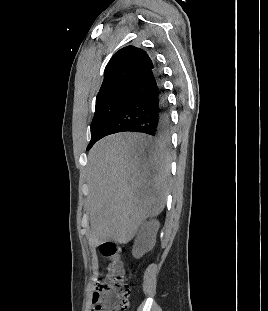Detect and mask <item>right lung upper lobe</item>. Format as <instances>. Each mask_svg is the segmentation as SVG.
<instances>
[{
	"label": "right lung upper lobe",
	"instance_id": "obj_1",
	"mask_svg": "<svg viewBox=\"0 0 268 311\" xmlns=\"http://www.w3.org/2000/svg\"><path fill=\"white\" fill-rule=\"evenodd\" d=\"M152 68L153 62L144 50L135 46L120 49L105 68L104 80L96 99L124 85L137 84Z\"/></svg>",
	"mask_w": 268,
	"mask_h": 311
}]
</instances>
